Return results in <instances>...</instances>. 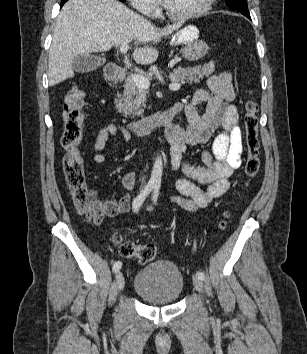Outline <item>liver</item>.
<instances>
[{
  "label": "liver",
  "instance_id": "liver-1",
  "mask_svg": "<svg viewBox=\"0 0 307 354\" xmlns=\"http://www.w3.org/2000/svg\"><path fill=\"white\" fill-rule=\"evenodd\" d=\"M181 25L157 28L118 0H69L53 31L48 58L49 86L74 77V57L105 52L133 40L137 44L134 60L141 65L151 64L158 58V51L146 43H158ZM141 44L145 46L138 47Z\"/></svg>",
  "mask_w": 307,
  "mask_h": 354
}]
</instances>
